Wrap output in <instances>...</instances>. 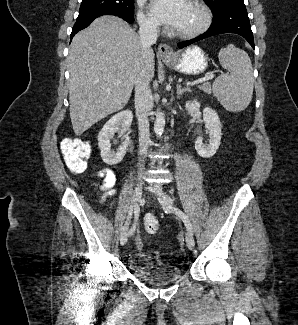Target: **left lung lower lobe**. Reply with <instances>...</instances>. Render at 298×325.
Here are the masks:
<instances>
[{
    "mask_svg": "<svg viewBox=\"0 0 298 325\" xmlns=\"http://www.w3.org/2000/svg\"><path fill=\"white\" fill-rule=\"evenodd\" d=\"M223 33L239 34L254 48L253 33L244 4L233 5L214 15L213 22L207 32L197 38L178 43V47L181 49L204 38Z\"/></svg>",
    "mask_w": 298,
    "mask_h": 325,
    "instance_id": "obj_1",
    "label": "left lung lower lobe"
}]
</instances>
